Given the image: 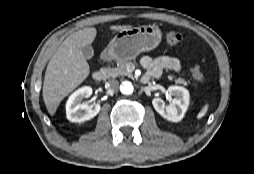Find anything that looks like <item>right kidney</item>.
Here are the masks:
<instances>
[{
  "label": "right kidney",
  "instance_id": "right-kidney-1",
  "mask_svg": "<svg viewBox=\"0 0 254 174\" xmlns=\"http://www.w3.org/2000/svg\"><path fill=\"white\" fill-rule=\"evenodd\" d=\"M92 88L84 86L72 93L66 103V116L70 122L81 123L95 117L101 109L99 103L88 105L82 103L83 98L90 97Z\"/></svg>",
  "mask_w": 254,
  "mask_h": 174
}]
</instances>
